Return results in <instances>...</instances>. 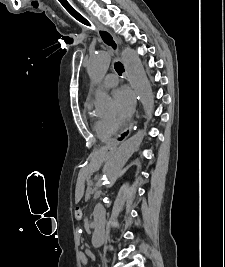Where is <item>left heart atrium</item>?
Segmentation results:
<instances>
[{"instance_id":"1","label":"left heart atrium","mask_w":225,"mask_h":267,"mask_svg":"<svg viewBox=\"0 0 225 267\" xmlns=\"http://www.w3.org/2000/svg\"><path fill=\"white\" fill-rule=\"evenodd\" d=\"M114 100L116 103V119L119 123L126 121L132 114L134 107V97L127 87H121L115 90Z\"/></svg>"}]
</instances>
